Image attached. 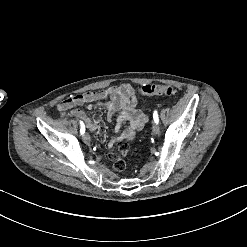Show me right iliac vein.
Listing matches in <instances>:
<instances>
[{"label": "right iliac vein", "mask_w": 247, "mask_h": 247, "mask_svg": "<svg viewBox=\"0 0 247 247\" xmlns=\"http://www.w3.org/2000/svg\"><path fill=\"white\" fill-rule=\"evenodd\" d=\"M83 141H84V143H86V144H90V143H91V137H90V135H89L88 133H85V134L83 135Z\"/></svg>", "instance_id": "63e3f726"}]
</instances>
